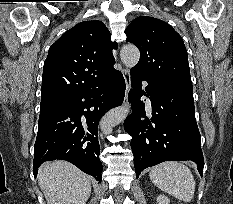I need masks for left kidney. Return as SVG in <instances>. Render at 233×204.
Segmentation results:
<instances>
[{"instance_id":"left-kidney-1","label":"left kidney","mask_w":233,"mask_h":204,"mask_svg":"<svg viewBox=\"0 0 233 204\" xmlns=\"http://www.w3.org/2000/svg\"><path fill=\"white\" fill-rule=\"evenodd\" d=\"M158 204H170V200L165 195H159L157 197Z\"/></svg>"}]
</instances>
